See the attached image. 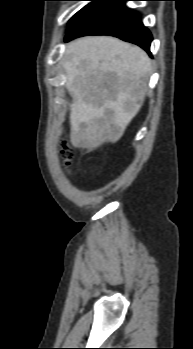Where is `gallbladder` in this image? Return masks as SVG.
Masks as SVG:
<instances>
[{
	"instance_id": "1",
	"label": "gallbladder",
	"mask_w": 193,
	"mask_h": 349,
	"mask_svg": "<svg viewBox=\"0 0 193 349\" xmlns=\"http://www.w3.org/2000/svg\"><path fill=\"white\" fill-rule=\"evenodd\" d=\"M113 76H114V74H109V75H108V77H113Z\"/></svg>"
}]
</instances>
